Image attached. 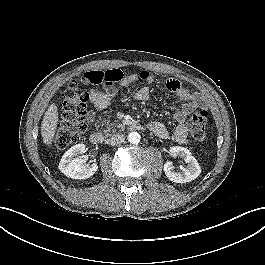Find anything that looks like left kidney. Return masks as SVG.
<instances>
[{
    "label": "left kidney",
    "instance_id": "1",
    "mask_svg": "<svg viewBox=\"0 0 265 265\" xmlns=\"http://www.w3.org/2000/svg\"><path fill=\"white\" fill-rule=\"evenodd\" d=\"M169 153L173 157H181L187 164L186 168L182 167V171L177 172L172 162H166L164 164V172L169 180L174 183H186L196 179L200 175L201 168L188 149L174 146L170 148Z\"/></svg>",
    "mask_w": 265,
    "mask_h": 265
}]
</instances>
